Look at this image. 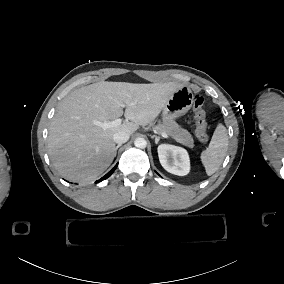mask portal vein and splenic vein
I'll list each match as a JSON object with an SVG mask.
<instances>
[{
    "label": "portal vein and splenic vein",
    "mask_w": 284,
    "mask_h": 284,
    "mask_svg": "<svg viewBox=\"0 0 284 284\" xmlns=\"http://www.w3.org/2000/svg\"><path fill=\"white\" fill-rule=\"evenodd\" d=\"M121 122H122V119L118 118V119H115L113 121H105V122H101V121H98V120H93V124L96 125V126H99L100 128H102L103 130H106L108 128H113V127H117L119 125H121ZM161 135L164 137V138H167L168 135L166 133H161Z\"/></svg>",
    "instance_id": "1"
}]
</instances>
